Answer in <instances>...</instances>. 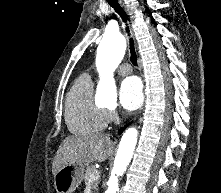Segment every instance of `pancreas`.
<instances>
[{"label": "pancreas", "mask_w": 221, "mask_h": 193, "mask_svg": "<svg viewBox=\"0 0 221 193\" xmlns=\"http://www.w3.org/2000/svg\"><path fill=\"white\" fill-rule=\"evenodd\" d=\"M95 171L96 168L94 165L87 166L83 178L86 185H89L91 189L98 190V183H99L98 178L95 180H91V175Z\"/></svg>", "instance_id": "obj_1"}]
</instances>
